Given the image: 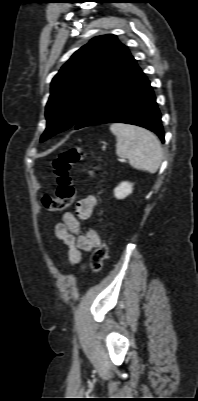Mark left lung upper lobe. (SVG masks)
<instances>
[{
	"label": "left lung upper lobe",
	"instance_id": "left-lung-upper-lobe-1",
	"mask_svg": "<svg viewBox=\"0 0 198 401\" xmlns=\"http://www.w3.org/2000/svg\"><path fill=\"white\" fill-rule=\"evenodd\" d=\"M129 56L115 35L95 37L77 50L51 82L40 142L74 126Z\"/></svg>",
	"mask_w": 198,
	"mask_h": 401
}]
</instances>
